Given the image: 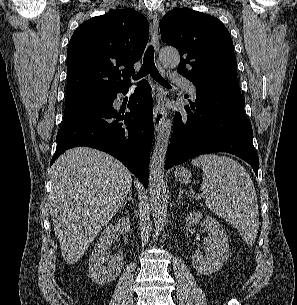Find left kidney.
<instances>
[{"label": "left kidney", "mask_w": 297, "mask_h": 305, "mask_svg": "<svg viewBox=\"0 0 297 305\" xmlns=\"http://www.w3.org/2000/svg\"><path fill=\"white\" fill-rule=\"evenodd\" d=\"M200 212H191L186 218L188 226H195L202 220ZM202 227L208 233L204 238L203 246L206 255L200 250H195L191 256L193 267L203 275H209L218 272L229 258L228 237L216 219L206 216Z\"/></svg>", "instance_id": "obj_1"}]
</instances>
